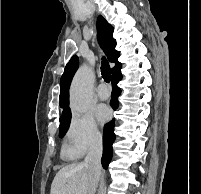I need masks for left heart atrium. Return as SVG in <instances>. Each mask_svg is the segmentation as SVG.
Listing matches in <instances>:
<instances>
[{
	"label": "left heart atrium",
	"mask_w": 201,
	"mask_h": 194,
	"mask_svg": "<svg viewBox=\"0 0 201 194\" xmlns=\"http://www.w3.org/2000/svg\"><path fill=\"white\" fill-rule=\"evenodd\" d=\"M96 117L101 122H106L110 117V110L107 106L101 105L96 109Z\"/></svg>",
	"instance_id": "1"
}]
</instances>
